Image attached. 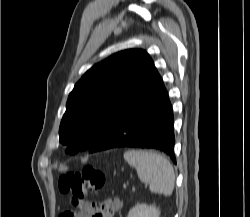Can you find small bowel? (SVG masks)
<instances>
[{"instance_id":"small-bowel-1","label":"small bowel","mask_w":250,"mask_h":217,"mask_svg":"<svg viewBox=\"0 0 250 217\" xmlns=\"http://www.w3.org/2000/svg\"><path fill=\"white\" fill-rule=\"evenodd\" d=\"M101 204V217H114L115 213L122 209V201L119 198L108 199ZM69 217H87L86 215L75 212Z\"/></svg>"}]
</instances>
